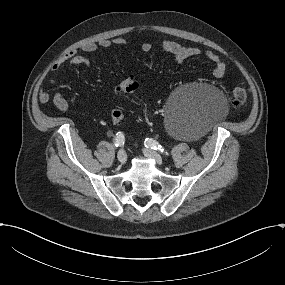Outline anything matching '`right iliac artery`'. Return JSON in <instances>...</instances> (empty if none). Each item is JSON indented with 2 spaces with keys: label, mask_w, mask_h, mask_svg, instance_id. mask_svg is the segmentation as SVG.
Here are the masks:
<instances>
[{
  "label": "right iliac artery",
  "mask_w": 285,
  "mask_h": 285,
  "mask_svg": "<svg viewBox=\"0 0 285 285\" xmlns=\"http://www.w3.org/2000/svg\"><path fill=\"white\" fill-rule=\"evenodd\" d=\"M125 137L122 132H118L114 139V146L115 147H122L124 145Z\"/></svg>",
  "instance_id": "obj_1"
}]
</instances>
